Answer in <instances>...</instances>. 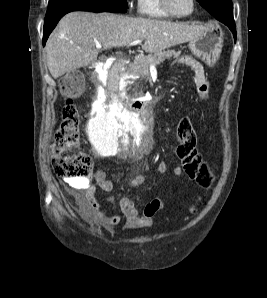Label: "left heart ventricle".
Returning <instances> with one entry per match:
<instances>
[{
    "label": "left heart ventricle",
    "mask_w": 267,
    "mask_h": 298,
    "mask_svg": "<svg viewBox=\"0 0 267 298\" xmlns=\"http://www.w3.org/2000/svg\"><path fill=\"white\" fill-rule=\"evenodd\" d=\"M172 9L178 14H187L191 11V0H169Z\"/></svg>",
    "instance_id": "1"
}]
</instances>
